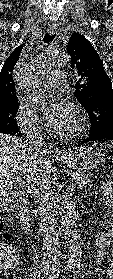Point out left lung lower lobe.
Listing matches in <instances>:
<instances>
[{
	"mask_svg": "<svg viewBox=\"0 0 113 279\" xmlns=\"http://www.w3.org/2000/svg\"><path fill=\"white\" fill-rule=\"evenodd\" d=\"M102 140H113V124L110 123L109 126L97 133H91L89 134V137L86 139H83L81 141V144L87 143V142H94V141H102Z\"/></svg>",
	"mask_w": 113,
	"mask_h": 279,
	"instance_id": "0a47b994",
	"label": "left lung lower lobe"
}]
</instances>
